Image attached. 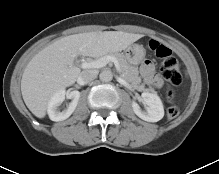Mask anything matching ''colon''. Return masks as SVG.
Segmentation results:
<instances>
[{"instance_id":"colon-1","label":"colon","mask_w":219,"mask_h":174,"mask_svg":"<svg viewBox=\"0 0 219 174\" xmlns=\"http://www.w3.org/2000/svg\"><path fill=\"white\" fill-rule=\"evenodd\" d=\"M148 48L160 60V73L168 85L167 96L171 99L174 95L173 87L180 85L182 82L180 64L172 54V51L159 42L150 41ZM178 114L179 108L176 105H171L166 110L168 119H174Z\"/></svg>"}]
</instances>
